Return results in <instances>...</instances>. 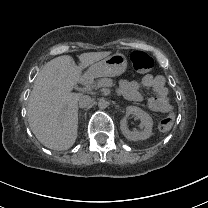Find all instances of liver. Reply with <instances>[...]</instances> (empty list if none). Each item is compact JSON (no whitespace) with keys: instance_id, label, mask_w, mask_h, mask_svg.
Segmentation results:
<instances>
[{"instance_id":"liver-1","label":"liver","mask_w":208,"mask_h":208,"mask_svg":"<svg viewBox=\"0 0 208 208\" xmlns=\"http://www.w3.org/2000/svg\"><path fill=\"white\" fill-rule=\"evenodd\" d=\"M111 54L90 52L78 56L77 66L71 56L63 55L47 62L34 81L29 96V126L45 147L69 149L77 138L79 94L71 93L81 81V70Z\"/></svg>"}]
</instances>
